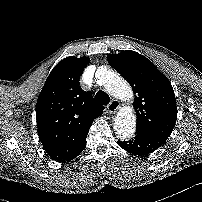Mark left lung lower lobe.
<instances>
[{
  "label": "left lung lower lobe",
  "instance_id": "1",
  "mask_svg": "<svg viewBox=\"0 0 202 202\" xmlns=\"http://www.w3.org/2000/svg\"><path fill=\"white\" fill-rule=\"evenodd\" d=\"M166 140L167 139L160 136L136 134L134 139L129 141L119 140L117 144L129 153L139 156H146L161 147Z\"/></svg>",
  "mask_w": 202,
  "mask_h": 202
}]
</instances>
